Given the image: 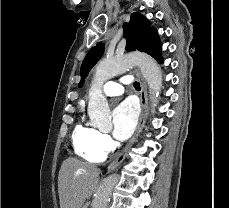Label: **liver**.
Instances as JSON below:
<instances>
[{
	"instance_id": "6515ba94",
	"label": "liver",
	"mask_w": 229,
	"mask_h": 208,
	"mask_svg": "<svg viewBox=\"0 0 229 208\" xmlns=\"http://www.w3.org/2000/svg\"><path fill=\"white\" fill-rule=\"evenodd\" d=\"M99 174V168L93 164L67 158L58 176L60 208H82L87 198L94 194Z\"/></svg>"
}]
</instances>
